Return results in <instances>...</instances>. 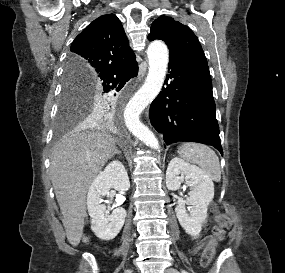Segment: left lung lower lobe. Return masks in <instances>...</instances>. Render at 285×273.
I'll list each match as a JSON object with an SVG mask.
<instances>
[{
	"instance_id": "0a47b994",
	"label": "left lung lower lobe",
	"mask_w": 285,
	"mask_h": 273,
	"mask_svg": "<svg viewBox=\"0 0 285 273\" xmlns=\"http://www.w3.org/2000/svg\"><path fill=\"white\" fill-rule=\"evenodd\" d=\"M160 94L151 103L153 127L163 134L164 146L177 141L215 147L222 155L211 77L170 58Z\"/></svg>"
}]
</instances>
